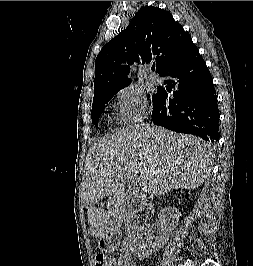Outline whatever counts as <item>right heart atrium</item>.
I'll use <instances>...</instances> for the list:
<instances>
[{
    "mask_svg": "<svg viewBox=\"0 0 253 266\" xmlns=\"http://www.w3.org/2000/svg\"><path fill=\"white\" fill-rule=\"evenodd\" d=\"M118 115L122 123H132L144 118L148 112V100L144 90L127 85L117 94Z\"/></svg>",
    "mask_w": 253,
    "mask_h": 266,
    "instance_id": "d8ad5b80",
    "label": "right heart atrium"
}]
</instances>
